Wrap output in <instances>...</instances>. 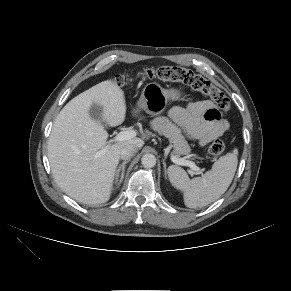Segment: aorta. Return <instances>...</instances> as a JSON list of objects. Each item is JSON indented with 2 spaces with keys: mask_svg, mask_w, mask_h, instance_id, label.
Listing matches in <instances>:
<instances>
[{
  "mask_svg": "<svg viewBox=\"0 0 291 291\" xmlns=\"http://www.w3.org/2000/svg\"><path fill=\"white\" fill-rule=\"evenodd\" d=\"M141 163L145 168H151L156 165V157L153 154H144Z\"/></svg>",
  "mask_w": 291,
  "mask_h": 291,
  "instance_id": "762f6f07",
  "label": "aorta"
}]
</instances>
